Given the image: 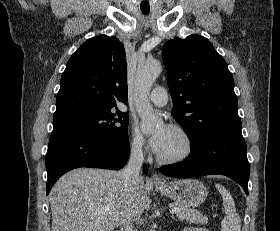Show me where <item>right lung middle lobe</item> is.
Masks as SVG:
<instances>
[{
    "label": "right lung middle lobe",
    "mask_w": 280,
    "mask_h": 231,
    "mask_svg": "<svg viewBox=\"0 0 280 231\" xmlns=\"http://www.w3.org/2000/svg\"><path fill=\"white\" fill-rule=\"evenodd\" d=\"M128 115L120 110L53 122V132L77 131L100 138L127 137Z\"/></svg>",
    "instance_id": "1"
}]
</instances>
